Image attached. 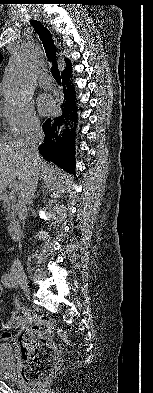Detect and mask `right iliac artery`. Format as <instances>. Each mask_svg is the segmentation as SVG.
<instances>
[{
  "mask_svg": "<svg viewBox=\"0 0 153 393\" xmlns=\"http://www.w3.org/2000/svg\"><path fill=\"white\" fill-rule=\"evenodd\" d=\"M2 283L4 284V286L11 288L13 286L14 283V279L11 275L9 274H5L2 276Z\"/></svg>",
  "mask_w": 153,
  "mask_h": 393,
  "instance_id": "1",
  "label": "right iliac artery"
}]
</instances>
